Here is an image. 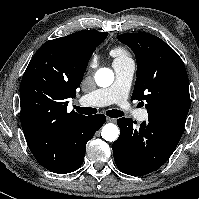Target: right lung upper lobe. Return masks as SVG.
I'll return each instance as SVG.
<instances>
[{"instance_id": "cb5924a9", "label": "right lung upper lobe", "mask_w": 199, "mask_h": 199, "mask_svg": "<svg viewBox=\"0 0 199 199\" xmlns=\"http://www.w3.org/2000/svg\"><path fill=\"white\" fill-rule=\"evenodd\" d=\"M108 33L83 30L45 42L32 57L20 85V121L24 135L58 142L84 117L68 113L67 99L76 96L88 61Z\"/></svg>"}]
</instances>
